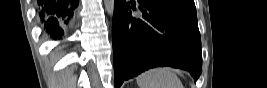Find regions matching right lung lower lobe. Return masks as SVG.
<instances>
[{"label":"right lung lower lobe","instance_id":"right-lung-lower-lobe-1","mask_svg":"<svg viewBox=\"0 0 267 88\" xmlns=\"http://www.w3.org/2000/svg\"><path fill=\"white\" fill-rule=\"evenodd\" d=\"M79 0H39L38 14L44 30L53 39H60L72 20Z\"/></svg>","mask_w":267,"mask_h":88}]
</instances>
